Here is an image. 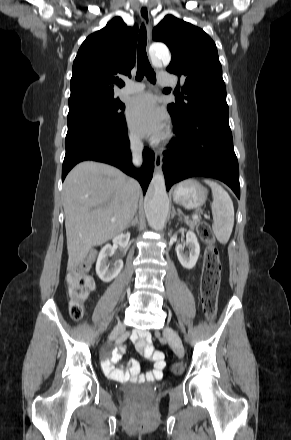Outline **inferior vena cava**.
<instances>
[{
  "label": "inferior vena cava",
  "instance_id": "602c4592",
  "mask_svg": "<svg viewBox=\"0 0 291 440\" xmlns=\"http://www.w3.org/2000/svg\"><path fill=\"white\" fill-rule=\"evenodd\" d=\"M142 149L143 144L141 140L133 138L131 140L132 162L136 167H139L142 164Z\"/></svg>",
  "mask_w": 291,
  "mask_h": 440
}]
</instances>
